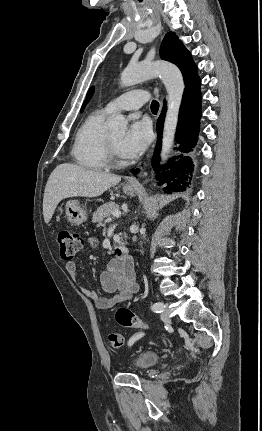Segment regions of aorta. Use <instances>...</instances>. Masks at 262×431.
Masks as SVG:
<instances>
[{
    "mask_svg": "<svg viewBox=\"0 0 262 431\" xmlns=\"http://www.w3.org/2000/svg\"><path fill=\"white\" fill-rule=\"evenodd\" d=\"M156 76L161 78L167 90V113L161 150V163H165L174 143L185 88L181 71L175 65L167 62H142L127 66L121 74L120 83L122 87H128ZM126 125V119L122 114H117L108 122L110 131L113 134L124 133Z\"/></svg>",
    "mask_w": 262,
    "mask_h": 431,
    "instance_id": "aorta-1",
    "label": "aorta"
}]
</instances>
